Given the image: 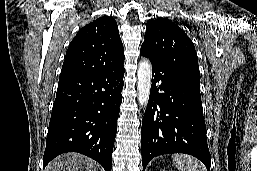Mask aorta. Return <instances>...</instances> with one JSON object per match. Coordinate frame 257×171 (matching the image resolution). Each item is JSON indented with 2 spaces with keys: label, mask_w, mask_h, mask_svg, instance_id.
<instances>
[{
  "label": "aorta",
  "mask_w": 257,
  "mask_h": 171,
  "mask_svg": "<svg viewBox=\"0 0 257 171\" xmlns=\"http://www.w3.org/2000/svg\"><path fill=\"white\" fill-rule=\"evenodd\" d=\"M151 73L152 69L149 60L142 59L139 63L137 71L138 102L142 107H146L149 101L151 88Z\"/></svg>",
  "instance_id": "obj_1"
}]
</instances>
